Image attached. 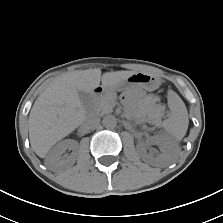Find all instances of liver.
<instances>
[{"label":"liver","mask_w":223,"mask_h":223,"mask_svg":"<svg viewBox=\"0 0 223 223\" xmlns=\"http://www.w3.org/2000/svg\"><path fill=\"white\" fill-rule=\"evenodd\" d=\"M134 71L76 70L56 77L39 95L29 115V139L34 152L44 158L51 147L86 120L79 91L92 93L102 81L106 87L125 81Z\"/></svg>","instance_id":"liver-1"}]
</instances>
